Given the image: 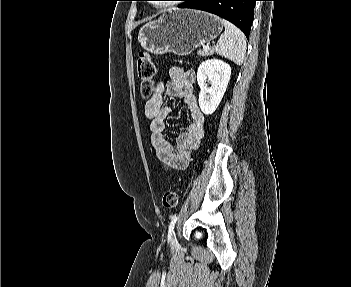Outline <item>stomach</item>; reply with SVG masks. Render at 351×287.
I'll list each match as a JSON object with an SVG mask.
<instances>
[{"label":"stomach","mask_w":351,"mask_h":287,"mask_svg":"<svg viewBox=\"0 0 351 287\" xmlns=\"http://www.w3.org/2000/svg\"><path fill=\"white\" fill-rule=\"evenodd\" d=\"M222 30L221 19L213 14L176 9L142 26L138 41L143 49L156 55L174 53L185 56L215 39Z\"/></svg>","instance_id":"obj_1"}]
</instances>
